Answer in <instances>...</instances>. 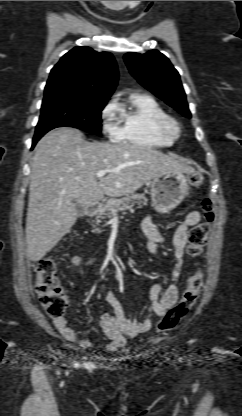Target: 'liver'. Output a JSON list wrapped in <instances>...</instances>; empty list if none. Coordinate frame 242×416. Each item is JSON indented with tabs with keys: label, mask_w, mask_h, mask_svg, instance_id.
<instances>
[{
	"label": "liver",
	"mask_w": 242,
	"mask_h": 416,
	"mask_svg": "<svg viewBox=\"0 0 242 416\" xmlns=\"http://www.w3.org/2000/svg\"><path fill=\"white\" fill-rule=\"evenodd\" d=\"M111 170L97 180V172ZM165 170L194 169L149 147L88 142L74 128L54 129L36 145L26 219L27 253L41 260L70 231L78 217L75 202L98 204L104 195L132 193Z\"/></svg>",
	"instance_id": "6515ba94"
}]
</instances>
